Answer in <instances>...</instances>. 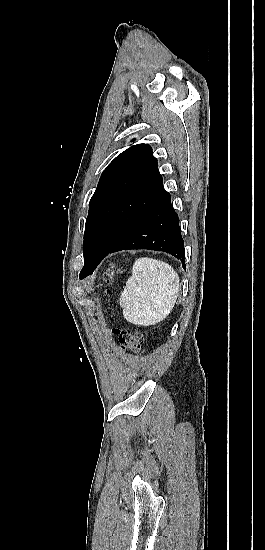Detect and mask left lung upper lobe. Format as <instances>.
I'll return each mask as SVG.
<instances>
[{"instance_id":"1","label":"left lung upper lobe","mask_w":265,"mask_h":550,"mask_svg":"<svg viewBox=\"0 0 265 550\" xmlns=\"http://www.w3.org/2000/svg\"><path fill=\"white\" fill-rule=\"evenodd\" d=\"M157 167L148 144L131 146L106 167L90 200L84 258L93 249H111L166 195Z\"/></svg>"}]
</instances>
